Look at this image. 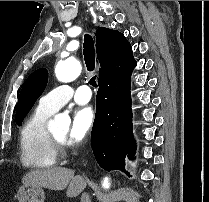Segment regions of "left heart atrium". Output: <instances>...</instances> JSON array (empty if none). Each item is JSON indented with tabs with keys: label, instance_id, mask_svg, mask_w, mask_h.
<instances>
[{
	"label": "left heart atrium",
	"instance_id": "obj_1",
	"mask_svg": "<svg viewBox=\"0 0 209 202\" xmlns=\"http://www.w3.org/2000/svg\"><path fill=\"white\" fill-rule=\"evenodd\" d=\"M96 118L94 109L90 106L77 108L73 112L72 123L68 135L71 144L82 142L92 129Z\"/></svg>",
	"mask_w": 209,
	"mask_h": 202
}]
</instances>
